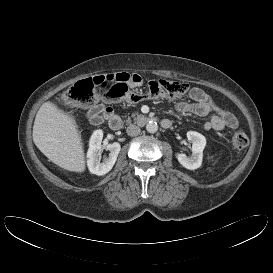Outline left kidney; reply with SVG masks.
I'll list each match as a JSON object with an SVG mask.
<instances>
[{
  "label": "left kidney",
  "instance_id": "1",
  "mask_svg": "<svg viewBox=\"0 0 273 273\" xmlns=\"http://www.w3.org/2000/svg\"><path fill=\"white\" fill-rule=\"evenodd\" d=\"M187 138L192 143V155L187 157L183 153H177L176 158L183 167L189 170H194L199 168L202 164L206 138L195 131H188Z\"/></svg>",
  "mask_w": 273,
  "mask_h": 273
}]
</instances>
